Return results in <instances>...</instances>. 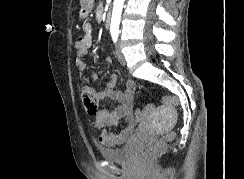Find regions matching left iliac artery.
I'll list each match as a JSON object with an SVG mask.
<instances>
[{
  "instance_id": "obj_1",
  "label": "left iliac artery",
  "mask_w": 244,
  "mask_h": 179,
  "mask_svg": "<svg viewBox=\"0 0 244 179\" xmlns=\"http://www.w3.org/2000/svg\"><path fill=\"white\" fill-rule=\"evenodd\" d=\"M118 34H119V32H117V31H111V35H112V39H113L114 43L117 42Z\"/></svg>"
}]
</instances>
